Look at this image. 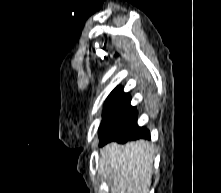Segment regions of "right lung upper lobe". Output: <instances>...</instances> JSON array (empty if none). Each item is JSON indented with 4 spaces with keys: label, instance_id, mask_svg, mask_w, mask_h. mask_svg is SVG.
Wrapping results in <instances>:
<instances>
[{
    "label": "right lung upper lobe",
    "instance_id": "1",
    "mask_svg": "<svg viewBox=\"0 0 221 193\" xmlns=\"http://www.w3.org/2000/svg\"><path fill=\"white\" fill-rule=\"evenodd\" d=\"M123 103H130V96L124 93L121 87L115 88L111 94L108 96L105 102V109L116 106Z\"/></svg>",
    "mask_w": 221,
    "mask_h": 193
}]
</instances>
